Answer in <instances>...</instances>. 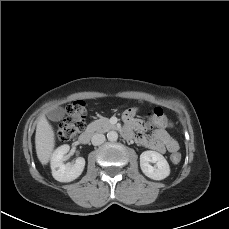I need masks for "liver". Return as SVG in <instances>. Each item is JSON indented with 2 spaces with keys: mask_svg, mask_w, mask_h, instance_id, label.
<instances>
[{
  "mask_svg": "<svg viewBox=\"0 0 229 229\" xmlns=\"http://www.w3.org/2000/svg\"><path fill=\"white\" fill-rule=\"evenodd\" d=\"M36 153L42 165H46L55 147V135L52 126L44 115L40 117L35 135Z\"/></svg>",
  "mask_w": 229,
  "mask_h": 229,
  "instance_id": "1",
  "label": "liver"
}]
</instances>
